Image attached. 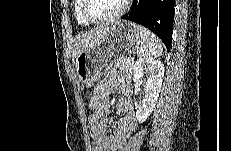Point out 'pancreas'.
<instances>
[{"label":"pancreas","instance_id":"obj_1","mask_svg":"<svg viewBox=\"0 0 231 151\" xmlns=\"http://www.w3.org/2000/svg\"><path fill=\"white\" fill-rule=\"evenodd\" d=\"M133 62L126 63L125 58H119L115 63H114V69L119 68L122 71H125L127 73H131V70L133 69Z\"/></svg>","mask_w":231,"mask_h":151}]
</instances>
